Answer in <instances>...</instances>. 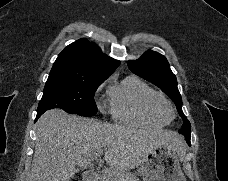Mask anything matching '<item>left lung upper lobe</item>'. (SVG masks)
Masks as SVG:
<instances>
[{
	"label": "left lung upper lobe",
	"mask_w": 228,
	"mask_h": 181,
	"mask_svg": "<svg viewBox=\"0 0 228 181\" xmlns=\"http://www.w3.org/2000/svg\"><path fill=\"white\" fill-rule=\"evenodd\" d=\"M129 69L136 75L161 88L175 103L179 115L183 119L179 133L190 135L191 125L182 111V98L177 88L176 76L170 69L167 59L154 51L145 52L139 59L128 61Z\"/></svg>",
	"instance_id": "1"
}]
</instances>
